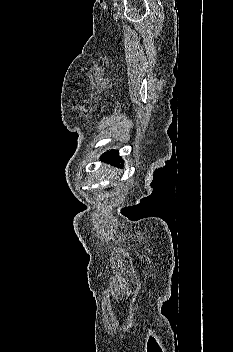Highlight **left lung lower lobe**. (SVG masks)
<instances>
[{"mask_svg": "<svg viewBox=\"0 0 233 352\" xmlns=\"http://www.w3.org/2000/svg\"><path fill=\"white\" fill-rule=\"evenodd\" d=\"M101 159L103 161L111 163L114 166H118V167L124 166L123 161L121 157L118 155L116 150H111L109 152L102 154Z\"/></svg>", "mask_w": 233, "mask_h": 352, "instance_id": "left-lung-lower-lobe-1", "label": "left lung lower lobe"}]
</instances>
